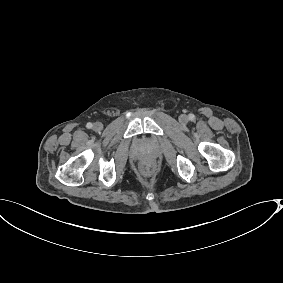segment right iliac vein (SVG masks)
<instances>
[{
    "mask_svg": "<svg viewBox=\"0 0 283 283\" xmlns=\"http://www.w3.org/2000/svg\"><path fill=\"white\" fill-rule=\"evenodd\" d=\"M103 128V124L101 122H95L93 124V130L94 131H100Z\"/></svg>",
    "mask_w": 283,
    "mask_h": 283,
    "instance_id": "right-iliac-vein-1",
    "label": "right iliac vein"
}]
</instances>
